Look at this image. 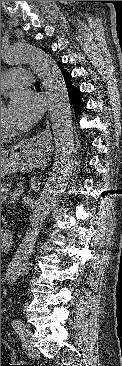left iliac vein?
<instances>
[{"label":"left iliac vein","mask_w":122,"mask_h":366,"mask_svg":"<svg viewBox=\"0 0 122 366\" xmlns=\"http://www.w3.org/2000/svg\"><path fill=\"white\" fill-rule=\"evenodd\" d=\"M22 335L24 337L25 340V346L26 348L30 349L32 346V342H33V338H32V332L30 329L24 327L22 330Z\"/></svg>","instance_id":"left-iliac-vein-1"}]
</instances>
